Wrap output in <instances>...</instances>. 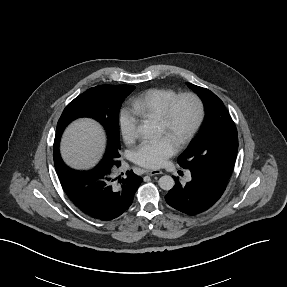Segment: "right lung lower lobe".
Returning a JSON list of instances; mask_svg holds the SVG:
<instances>
[{"mask_svg": "<svg viewBox=\"0 0 287 287\" xmlns=\"http://www.w3.org/2000/svg\"><path fill=\"white\" fill-rule=\"evenodd\" d=\"M61 185L72 202L85 214L109 221L119 217L132 204L143 179L133 171L125 178H112L111 167L99 164L90 171L68 168L60 158L54 163ZM117 167L120 162H116Z\"/></svg>", "mask_w": 287, "mask_h": 287, "instance_id": "right-lung-lower-lobe-1", "label": "right lung lower lobe"}]
</instances>
